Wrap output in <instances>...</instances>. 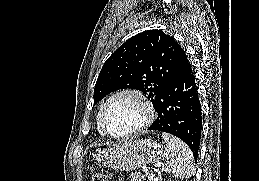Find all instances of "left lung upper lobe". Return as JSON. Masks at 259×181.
Masks as SVG:
<instances>
[{
  "instance_id": "left-lung-upper-lobe-1",
  "label": "left lung upper lobe",
  "mask_w": 259,
  "mask_h": 181,
  "mask_svg": "<svg viewBox=\"0 0 259 181\" xmlns=\"http://www.w3.org/2000/svg\"><path fill=\"white\" fill-rule=\"evenodd\" d=\"M179 44L160 30H147L122 44L104 63L94 88V103L122 88L148 95L154 107L178 70Z\"/></svg>"
}]
</instances>
